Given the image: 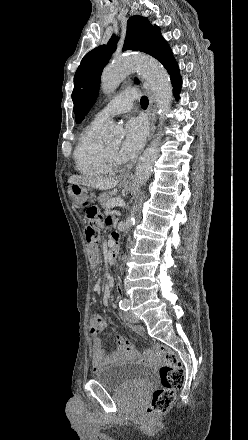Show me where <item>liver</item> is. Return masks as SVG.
Wrapping results in <instances>:
<instances>
[{"label":"liver","mask_w":248,"mask_h":440,"mask_svg":"<svg viewBox=\"0 0 248 440\" xmlns=\"http://www.w3.org/2000/svg\"><path fill=\"white\" fill-rule=\"evenodd\" d=\"M120 182V178L88 177L72 175L68 183H78L99 190H110Z\"/></svg>","instance_id":"6515ba94"}]
</instances>
